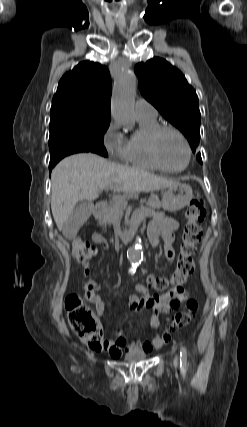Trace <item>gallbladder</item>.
Returning a JSON list of instances; mask_svg holds the SVG:
<instances>
[{"label": "gallbladder", "mask_w": 247, "mask_h": 427, "mask_svg": "<svg viewBox=\"0 0 247 427\" xmlns=\"http://www.w3.org/2000/svg\"><path fill=\"white\" fill-rule=\"evenodd\" d=\"M94 205L91 202H79L72 213L65 220L62 228L63 235L68 238H74L81 226L88 220Z\"/></svg>", "instance_id": "bac80fb5"}]
</instances>
